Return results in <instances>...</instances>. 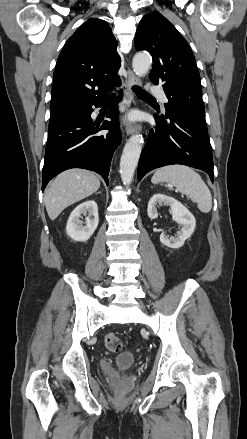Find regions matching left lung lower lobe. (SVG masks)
<instances>
[{"instance_id": "1", "label": "left lung lower lobe", "mask_w": 247, "mask_h": 439, "mask_svg": "<svg viewBox=\"0 0 247 439\" xmlns=\"http://www.w3.org/2000/svg\"><path fill=\"white\" fill-rule=\"evenodd\" d=\"M157 126L150 130L138 165V181L155 169L182 164L205 171L213 181L212 148L206 122L189 115H154Z\"/></svg>"}]
</instances>
